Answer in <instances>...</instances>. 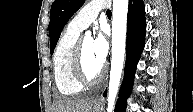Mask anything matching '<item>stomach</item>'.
<instances>
[{
    "label": "stomach",
    "mask_w": 193,
    "mask_h": 112,
    "mask_svg": "<svg viewBox=\"0 0 193 112\" xmlns=\"http://www.w3.org/2000/svg\"><path fill=\"white\" fill-rule=\"evenodd\" d=\"M92 112H100V104L96 101L92 103Z\"/></svg>",
    "instance_id": "1"
}]
</instances>
